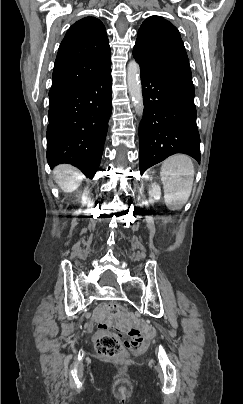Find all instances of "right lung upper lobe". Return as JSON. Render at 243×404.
Masks as SVG:
<instances>
[{
	"label": "right lung upper lobe",
	"mask_w": 243,
	"mask_h": 404,
	"mask_svg": "<svg viewBox=\"0 0 243 404\" xmlns=\"http://www.w3.org/2000/svg\"><path fill=\"white\" fill-rule=\"evenodd\" d=\"M110 69L105 27L99 19L85 17L68 29L60 44L49 95L85 84Z\"/></svg>",
	"instance_id": "obj_1"
}]
</instances>
